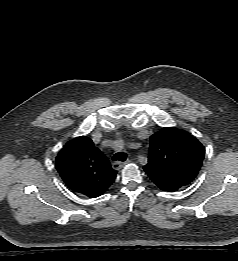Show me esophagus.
Returning a JSON list of instances; mask_svg holds the SVG:
<instances>
[{"label":"esophagus","instance_id":"1","mask_svg":"<svg viewBox=\"0 0 238 261\" xmlns=\"http://www.w3.org/2000/svg\"><path fill=\"white\" fill-rule=\"evenodd\" d=\"M130 160H126L125 162L116 161L112 163V168L114 170H120L125 164L129 163Z\"/></svg>","mask_w":238,"mask_h":261}]
</instances>
